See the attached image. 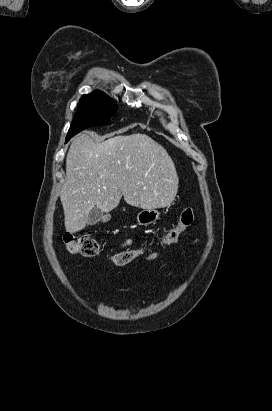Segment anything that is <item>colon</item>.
Listing matches in <instances>:
<instances>
[{"label": "colon", "instance_id": "1", "mask_svg": "<svg viewBox=\"0 0 272 411\" xmlns=\"http://www.w3.org/2000/svg\"><path fill=\"white\" fill-rule=\"evenodd\" d=\"M194 220V212L191 207H187L181 213L177 225L171 229L162 239L163 244H175L179 241L182 233L192 225ZM63 242L67 250L72 254L81 255L83 257H94L99 253L100 246L98 241L91 235H83L75 237L74 234L66 232L63 234ZM142 249H128L115 254L111 261L116 266H123L131 262L134 258L142 253Z\"/></svg>", "mask_w": 272, "mask_h": 411}]
</instances>
